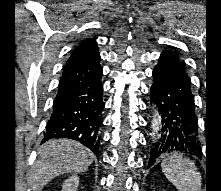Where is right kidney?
Here are the masks:
<instances>
[{
  "instance_id": "1",
  "label": "right kidney",
  "mask_w": 221,
  "mask_h": 191,
  "mask_svg": "<svg viewBox=\"0 0 221 191\" xmlns=\"http://www.w3.org/2000/svg\"><path fill=\"white\" fill-rule=\"evenodd\" d=\"M79 177L75 174L65 180L62 185V191H77Z\"/></svg>"
}]
</instances>
